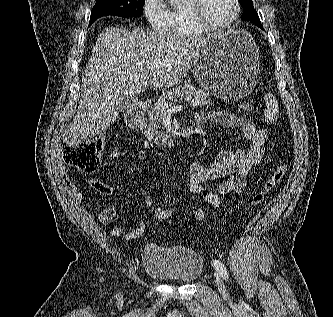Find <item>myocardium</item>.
<instances>
[{"label":"myocardium","mask_w":333,"mask_h":317,"mask_svg":"<svg viewBox=\"0 0 333 317\" xmlns=\"http://www.w3.org/2000/svg\"><path fill=\"white\" fill-rule=\"evenodd\" d=\"M235 4V12L233 16L223 23H212L208 21L204 13L205 0H189L188 11L193 23L205 32L222 30L233 25L240 16L241 3L240 0H233Z\"/></svg>","instance_id":"obj_1"}]
</instances>
